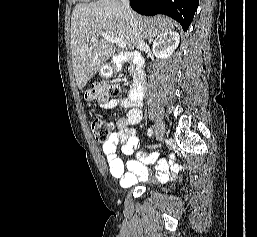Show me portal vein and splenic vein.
<instances>
[{"mask_svg":"<svg viewBox=\"0 0 257 237\" xmlns=\"http://www.w3.org/2000/svg\"><path fill=\"white\" fill-rule=\"evenodd\" d=\"M100 35H101L106 41L115 43L119 48H121V49H125V48H126V43H125L123 40L114 38V37L110 36L109 34H107V33H105V32H100ZM94 41H95V38L92 37V38H91V42H94Z\"/></svg>","mask_w":257,"mask_h":237,"instance_id":"18ae733b","label":"portal vein and splenic vein"}]
</instances>
